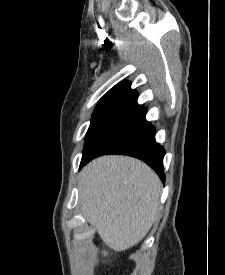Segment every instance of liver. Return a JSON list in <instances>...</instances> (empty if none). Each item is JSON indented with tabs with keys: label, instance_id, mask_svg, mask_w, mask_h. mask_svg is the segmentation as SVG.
Instances as JSON below:
<instances>
[{
	"label": "liver",
	"instance_id": "1",
	"mask_svg": "<svg viewBox=\"0 0 225 275\" xmlns=\"http://www.w3.org/2000/svg\"><path fill=\"white\" fill-rule=\"evenodd\" d=\"M78 187L85 219L115 251L138 244L157 219L162 184L140 160L99 157L83 169Z\"/></svg>",
	"mask_w": 225,
	"mask_h": 275
}]
</instances>
